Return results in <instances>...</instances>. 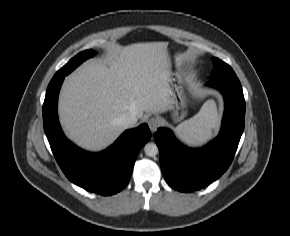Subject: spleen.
Segmentation results:
<instances>
[{
  "label": "spleen",
  "mask_w": 290,
  "mask_h": 236,
  "mask_svg": "<svg viewBox=\"0 0 290 236\" xmlns=\"http://www.w3.org/2000/svg\"><path fill=\"white\" fill-rule=\"evenodd\" d=\"M219 124V114L213 100L206 101L199 113L176 127L178 135L189 144L199 145L212 137Z\"/></svg>",
  "instance_id": "1"
}]
</instances>
